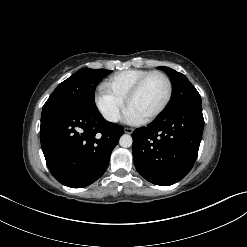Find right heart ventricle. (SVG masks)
I'll return each mask as SVG.
<instances>
[{
  "mask_svg": "<svg viewBox=\"0 0 247 247\" xmlns=\"http://www.w3.org/2000/svg\"><path fill=\"white\" fill-rule=\"evenodd\" d=\"M149 72V70L143 69L125 70L110 76L104 86L115 96L125 101L132 87Z\"/></svg>",
  "mask_w": 247,
  "mask_h": 247,
  "instance_id": "1",
  "label": "right heart ventricle"
}]
</instances>
